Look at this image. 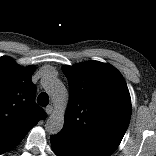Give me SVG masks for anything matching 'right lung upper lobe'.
Returning <instances> with one entry per match:
<instances>
[{"mask_svg": "<svg viewBox=\"0 0 156 156\" xmlns=\"http://www.w3.org/2000/svg\"><path fill=\"white\" fill-rule=\"evenodd\" d=\"M35 66L22 67L0 57V154L17 146L45 113L35 103L31 76Z\"/></svg>", "mask_w": 156, "mask_h": 156, "instance_id": "obj_1", "label": "right lung upper lobe"}]
</instances>
